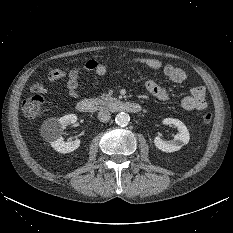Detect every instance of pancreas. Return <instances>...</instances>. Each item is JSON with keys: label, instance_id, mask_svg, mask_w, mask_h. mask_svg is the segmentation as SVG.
<instances>
[{"label": "pancreas", "instance_id": "cf45deb5", "mask_svg": "<svg viewBox=\"0 0 233 233\" xmlns=\"http://www.w3.org/2000/svg\"><path fill=\"white\" fill-rule=\"evenodd\" d=\"M100 99L102 101H104V102H109V101H112V100H116V98H113L108 94H101Z\"/></svg>", "mask_w": 233, "mask_h": 233}]
</instances>
